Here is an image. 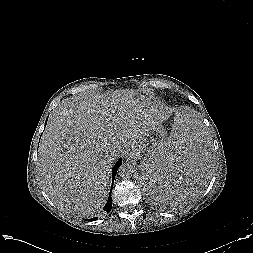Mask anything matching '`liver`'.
Segmentation results:
<instances>
[{"mask_svg": "<svg viewBox=\"0 0 253 253\" xmlns=\"http://www.w3.org/2000/svg\"><path fill=\"white\" fill-rule=\"evenodd\" d=\"M168 117L163 105L128 89L62 101L50 116L38 152L50 200L72 215L95 216L106 203L113 163Z\"/></svg>", "mask_w": 253, "mask_h": 253, "instance_id": "liver-1", "label": "liver"}]
</instances>
